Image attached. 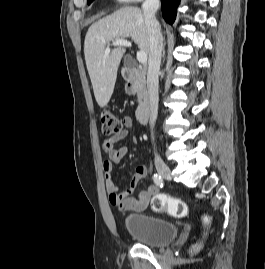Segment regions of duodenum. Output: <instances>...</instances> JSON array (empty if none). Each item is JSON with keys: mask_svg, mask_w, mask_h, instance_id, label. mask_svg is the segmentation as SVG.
I'll use <instances>...</instances> for the list:
<instances>
[{"mask_svg": "<svg viewBox=\"0 0 265 269\" xmlns=\"http://www.w3.org/2000/svg\"><path fill=\"white\" fill-rule=\"evenodd\" d=\"M124 77L138 95L139 104L136 108V119L140 124H145L148 120L150 112V94L147 88L145 71L126 67L124 69Z\"/></svg>", "mask_w": 265, "mask_h": 269, "instance_id": "duodenum-1", "label": "duodenum"}]
</instances>
